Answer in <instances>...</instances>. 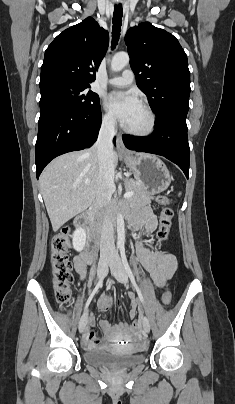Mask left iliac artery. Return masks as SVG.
Wrapping results in <instances>:
<instances>
[{"label":"left iliac artery","mask_w":235,"mask_h":404,"mask_svg":"<svg viewBox=\"0 0 235 404\" xmlns=\"http://www.w3.org/2000/svg\"><path fill=\"white\" fill-rule=\"evenodd\" d=\"M120 253H121V257H122V262H123L124 268H125V270H126L128 276H129V278H130V280H131L132 286H133V287L136 289V291H137V294H138L140 303L143 305L144 301H143L142 292H141L140 288L138 287V285H137V283H136V280H135V277H134V274H133V272H132V270H131V268H130V266H129V264H128V261H127L126 255H125V249H124V247H122V248L120 249Z\"/></svg>","instance_id":"44dca946"}]
</instances>
